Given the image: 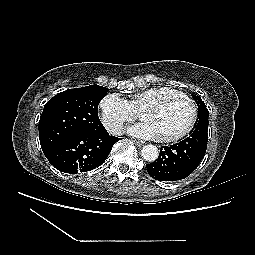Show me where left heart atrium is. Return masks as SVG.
Returning <instances> with one entry per match:
<instances>
[{
    "label": "left heart atrium",
    "mask_w": 255,
    "mask_h": 255,
    "mask_svg": "<svg viewBox=\"0 0 255 255\" xmlns=\"http://www.w3.org/2000/svg\"><path fill=\"white\" fill-rule=\"evenodd\" d=\"M128 132L136 137L143 139H154L157 138V132L153 124L149 121H142L137 123L130 128Z\"/></svg>",
    "instance_id": "left-heart-atrium-1"
}]
</instances>
